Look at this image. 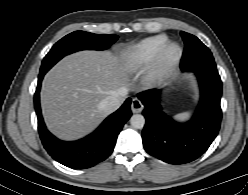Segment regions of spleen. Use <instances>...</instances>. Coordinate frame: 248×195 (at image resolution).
Listing matches in <instances>:
<instances>
[{"mask_svg": "<svg viewBox=\"0 0 248 195\" xmlns=\"http://www.w3.org/2000/svg\"><path fill=\"white\" fill-rule=\"evenodd\" d=\"M190 115V112L180 113L175 116V119L179 121H186L190 118Z\"/></svg>", "mask_w": 248, "mask_h": 195, "instance_id": "obj_1", "label": "spleen"}]
</instances>
